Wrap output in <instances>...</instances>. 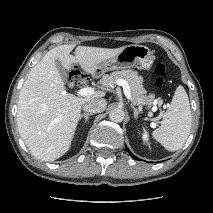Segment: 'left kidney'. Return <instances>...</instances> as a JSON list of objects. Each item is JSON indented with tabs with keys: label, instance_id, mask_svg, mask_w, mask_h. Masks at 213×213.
I'll return each instance as SVG.
<instances>
[{
	"label": "left kidney",
	"instance_id": "5707ae66",
	"mask_svg": "<svg viewBox=\"0 0 213 213\" xmlns=\"http://www.w3.org/2000/svg\"><path fill=\"white\" fill-rule=\"evenodd\" d=\"M142 138H143L144 142H146V143L148 142L149 136H148V133L146 131L143 133Z\"/></svg>",
	"mask_w": 213,
	"mask_h": 213
}]
</instances>
